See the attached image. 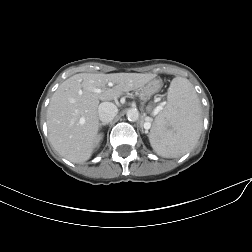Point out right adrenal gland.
I'll return each instance as SVG.
<instances>
[{"label": "right adrenal gland", "instance_id": "1", "mask_svg": "<svg viewBox=\"0 0 252 252\" xmlns=\"http://www.w3.org/2000/svg\"><path fill=\"white\" fill-rule=\"evenodd\" d=\"M109 123H100L99 124V126H100V128L102 127V126H105V125H108Z\"/></svg>", "mask_w": 252, "mask_h": 252}]
</instances>
